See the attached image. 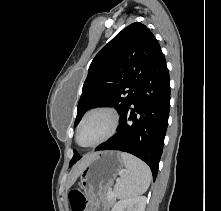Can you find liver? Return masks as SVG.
I'll list each match as a JSON object with an SVG mask.
<instances>
[{
	"instance_id": "obj_1",
	"label": "liver",
	"mask_w": 221,
	"mask_h": 211,
	"mask_svg": "<svg viewBox=\"0 0 221 211\" xmlns=\"http://www.w3.org/2000/svg\"><path fill=\"white\" fill-rule=\"evenodd\" d=\"M95 154H91L87 157H85L84 159L80 160L79 162H77L71 173H70V180L67 184V189H69L74 182L77 180L78 176L81 174V171L84 169V167L88 164V162L93 158Z\"/></svg>"
}]
</instances>
